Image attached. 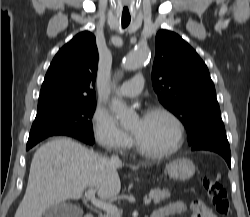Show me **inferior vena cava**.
Instances as JSON below:
<instances>
[{
    "label": "inferior vena cava",
    "instance_id": "obj_1",
    "mask_svg": "<svg viewBox=\"0 0 250 217\" xmlns=\"http://www.w3.org/2000/svg\"><path fill=\"white\" fill-rule=\"evenodd\" d=\"M110 160H111V162L114 163V164L120 163V159H119V157L116 156V155H113V156L111 157Z\"/></svg>",
    "mask_w": 250,
    "mask_h": 217
}]
</instances>
